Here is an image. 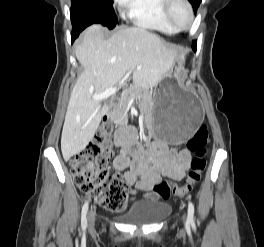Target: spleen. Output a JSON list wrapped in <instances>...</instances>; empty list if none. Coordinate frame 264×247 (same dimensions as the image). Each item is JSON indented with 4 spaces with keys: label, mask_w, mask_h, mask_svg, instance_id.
<instances>
[{
    "label": "spleen",
    "mask_w": 264,
    "mask_h": 247,
    "mask_svg": "<svg viewBox=\"0 0 264 247\" xmlns=\"http://www.w3.org/2000/svg\"><path fill=\"white\" fill-rule=\"evenodd\" d=\"M181 59L184 60V55H181Z\"/></svg>",
    "instance_id": "spleen-1"
}]
</instances>
